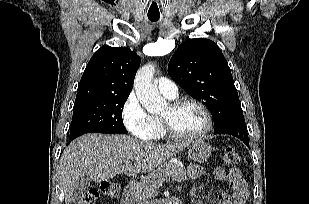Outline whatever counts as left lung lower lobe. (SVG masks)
Here are the masks:
<instances>
[{
  "mask_svg": "<svg viewBox=\"0 0 309 204\" xmlns=\"http://www.w3.org/2000/svg\"><path fill=\"white\" fill-rule=\"evenodd\" d=\"M214 133L233 135L241 139L249 147L247 127L244 118L228 122L223 127L215 130Z\"/></svg>",
  "mask_w": 309,
  "mask_h": 204,
  "instance_id": "0a47b994",
  "label": "left lung lower lobe"
}]
</instances>
